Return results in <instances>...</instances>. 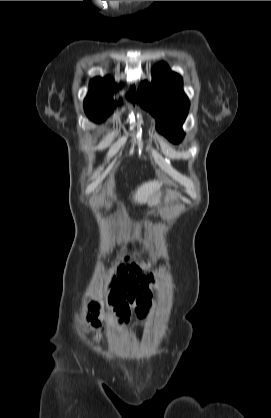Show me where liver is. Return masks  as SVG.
Returning <instances> with one entry per match:
<instances>
[{
    "label": "liver",
    "mask_w": 271,
    "mask_h": 418,
    "mask_svg": "<svg viewBox=\"0 0 271 418\" xmlns=\"http://www.w3.org/2000/svg\"><path fill=\"white\" fill-rule=\"evenodd\" d=\"M161 183L158 181H149L143 183L134 194V201L143 204L149 201V199L155 195L160 189Z\"/></svg>",
    "instance_id": "1"
}]
</instances>
